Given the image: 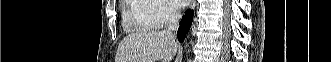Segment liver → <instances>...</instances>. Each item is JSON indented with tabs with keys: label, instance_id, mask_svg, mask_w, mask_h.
Listing matches in <instances>:
<instances>
[{
	"label": "liver",
	"instance_id": "liver-1",
	"mask_svg": "<svg viewBox=\"0 0 331 62\" xmlns=\"http://www.w3.org/2000/svg\"><path fill=\"white\" fill-rule=\"evenodd\" d=\"M177 48L175 38L165 31L135 32L120 42L115 62H171Z\"/></svg>",
	"mask_w": 331,
	"mask_h": 62
}]
</instances>
